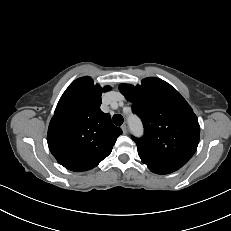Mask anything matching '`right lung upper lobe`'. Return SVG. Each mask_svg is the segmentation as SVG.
<instances>
[{
    "label": "right lung upper lobe",
    "instance_id": "cb5924a9",
    "mask_svg": "<svg viewBox=\"0 0 231 231\" xmlns=\"http://www.w3.org/2000/svg\"><path fill=\"white\" fill-rule=\"evenodd\" d=\"M86 76L75 80L60 98L47 134L49 149L65 168L81 172L96 167L112 151L122 130L100 110L102 92Z\"/></svg>",
    "mask_w": 231,
    "mask_h": 231
}]
</instances>
